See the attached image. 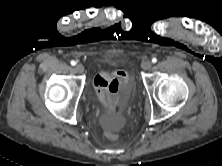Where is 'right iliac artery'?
<instances>
[{
  "label": "right iliac artery",
  "instance_id": "82829eb1",
  "mask_svg": "<svg viewBox=\"0 0 222 166\" xmlns=\"http://www.w3.org/2000/svg\"><path fill=\"white\" fill-rule=\"evenodd\" d=\"M71 65H72V66H75V65H76V62L72 60V61H71Z\"/></svg>",
  "mask_w": 222,
  "mask_h": 166
}]
</instances>
